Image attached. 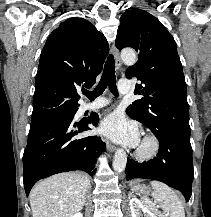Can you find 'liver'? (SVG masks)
<instances>
[{
  "instance_id": "obj_1",
  "label": "liver",
  "mask_w": 211,
  "mask_h": 217,
  "mask_svg": "<svg viewBox=\"0 0 211 217\" xmlns=\"http://www.w3.org/2000/svg\"><path fill=\"white\" fill-rule=\"evenodd\" d=\"M90 188L82 173H60L36 184L30 192L33 217H71L81 211Z\"/></svg>"
}]
</instances>
